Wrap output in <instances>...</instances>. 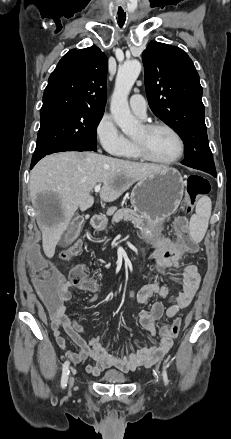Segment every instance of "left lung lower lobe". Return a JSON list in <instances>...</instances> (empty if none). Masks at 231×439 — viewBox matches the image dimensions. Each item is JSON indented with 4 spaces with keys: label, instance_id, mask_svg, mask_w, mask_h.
I'll return each mask as SVG.
<instances>
[{
    "label": "left lung lower lobe",
    "instance_id": "obj_1",
    "mask_svg": "<svg viewBox=\"0 0 231 439\" xmlns=\"http://www.w3.org/2000/svg\"><path fill=\"white\" fill-rule=\"evenodd\" d=\"M200 170V169H199ZM205 171L207 173H210L211 175H213L214 177H216V171H209V170H202Z\"/></svg>",
    "mask_w": 231,
    "mask_h": 439
}]
</instances>
